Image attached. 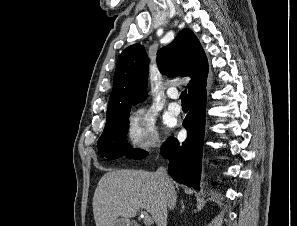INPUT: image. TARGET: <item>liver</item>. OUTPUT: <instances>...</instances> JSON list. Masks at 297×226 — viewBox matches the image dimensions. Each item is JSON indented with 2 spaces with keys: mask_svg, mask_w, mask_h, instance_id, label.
<instances>
[{
  "mask_svg": "<svg viewBox=\"0 0 297 226\" xmlns=\"http://www.w3.org/2000/svg\"><path fill=\"white\" fill-rule=\"evenodd\" d=\"M139 209L152 215L157 226L167 225L166 191L156 173L110 170L98 182L93 197L96 226H114L119 218H131Z\"/></svg>",
  "mask_w": 297,
  "mask_h": 226,
  "instance_id": "1",
  "label": "liver"
}]
</instances>
